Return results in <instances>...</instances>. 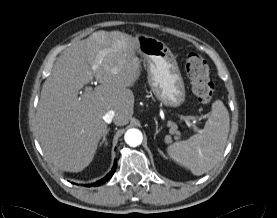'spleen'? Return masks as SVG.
<instances>
[{"label": "spleen", "mask_w": 277, "mask_h": 218, "mask_svg": "<svg viewBox=\"0 0 277 218\" xmlns=\"http://www.w3.org/2000/svg\"><path fill=\"white\" fill-rule=\"evenodd\" d=\"M229 129L228 110L221 100H216L212 103L204 129L188 140L169 145L167 152L171 159L191 170L194 175H202L222 157Z\"/></svg>", "instance_id": "1"}]
</instances>
